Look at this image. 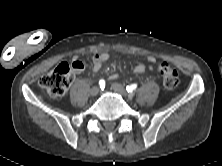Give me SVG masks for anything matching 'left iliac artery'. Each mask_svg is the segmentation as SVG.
<instances>
[{
    "label": "left iliac artery",
    "instance_id": "obj_1",
    "mask_svg": "<svg viewBox=\"0 0 222 166\" xmlns=\"http://www.w3.org/2000/svg\"><path fill=\"white\" fill-rule=\"evenodd\" d=\"M137 88V84H131V85H128L126 86V90L128 93H132L135 89Z\"/></svg>",
    "mask_w": 222,
    "mask_h": 166
}]
</instances>
